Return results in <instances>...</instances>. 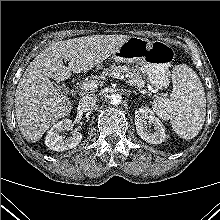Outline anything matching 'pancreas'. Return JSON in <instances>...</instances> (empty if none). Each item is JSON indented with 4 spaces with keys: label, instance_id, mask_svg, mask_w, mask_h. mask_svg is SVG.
<instances>
[{
    "label": "pancreas",
    "instance_id": "1",
    "mask_svg": "<svg viewBox=\"0 0 220 220\" xmlns=\"http://www.w3.org/2000/svg\"><path fill=\"white\" fill-rule=\"evenodd\" d=\"M111 73H125L127 78V83L130 86H136L142 88L145 85V81L142 79L139 72L133 68L127 66H115L112 65L109 68L104 69L100 76H96V80L105 79Z\"/></svg>",
    "mask_w": 220,
    "mask_h": 220
}]
</instances>
